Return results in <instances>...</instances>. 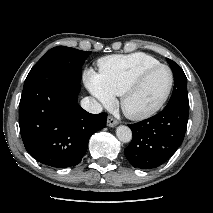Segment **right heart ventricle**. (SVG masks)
<instances>
[{"label": "right heart ventricle", "instance_id": "right-heart-ventricle-1", "mask_svg": "<svg viewBox=\"0 0 213 213\" xmlns=\"http://www.w3.org/2000/svg\"><path fill=\"white\" fill-rule=\"evenodd\" d=\"M156 64L159 62L155 58L140 52L107 56L98 61L101 80L113 96H119L142 70Z\"/></svg>", "mask_w": 213, "mask_h": 213}]
</instances>
